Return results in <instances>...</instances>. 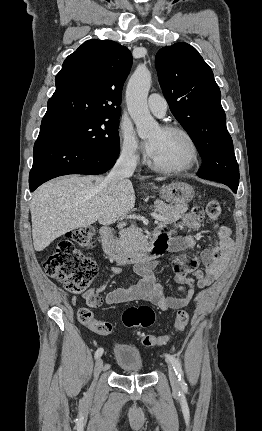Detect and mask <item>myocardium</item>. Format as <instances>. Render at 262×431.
I'll use <instances>...</instances> for the list:
<instances>
[{
	"label": "myocardium",
	"mask_w": 262,
	"mask_h": 431,
	"mask_svg": "<svg viewBox=\"0 0 262 431\" xmlns=\"http://www.w3.org/2000/svg\"><path fill=\"white\" fill-rule=\"evenodd\" d=\"M161 129L167 132H175L182 135L187 140L190 147L189 157L184 164L177 166L161 165L149 157L148 165L157 171L165 173H182L191 170L196 164L199 156V148L192 134L184 127L176 124H165L161 126Z\"/></svg>",
	"instance_id": "f54148a6"
}]
</instances>
